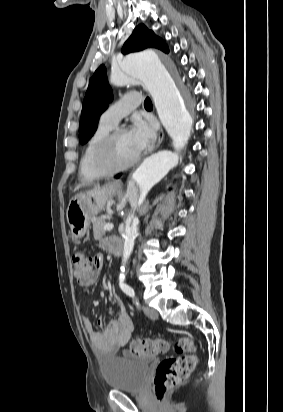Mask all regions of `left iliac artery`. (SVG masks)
I'll return each mask as SVG.
<instances>
[{
  "label": "left iliac artery",
  "instance_id": "1",
  "mask_svg": "<svg viewBox=\"0 0 283 412\" xmlns=\"http://www.w3.org/2000/svg\"><path fill=\"white\" fill-rule=\"evenodd\" d=\"M119 281H120L119 285H120V288L122 289V291L124 293H126L128 296H130L131 298H133L135 300L136 304H137L138 302L135 298L134 289L131 286L124 283V276L123 275H120Z\"/></svg>",
  "mask_w": 283,
  "mask_h": 412
}]
</instances>
